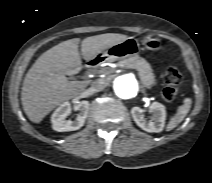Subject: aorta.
<instances>
[{
  "mask_svg": "<svg viewBox=\"0 0 212 183\" xmlns=\"http://www.w3.org/2000/svg\"><path fill=\"white\" fill-rule=\"evenodd\" d=\"M114 91L120 99H131L135 97L139 91L138 80L130 74L118 76L114 80Z\"/></svg>",
  "mask_w": 212,
  "mask_h": 183,
  "instance_id": "aorta-1",
  "label": "aorta"
}]
</instances>
